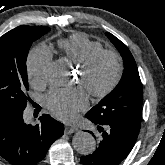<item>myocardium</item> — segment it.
I'll return each instance as SVG.
<instances>
[{
	"mask_svg": "<svg viewBox=\"0 0 165 165\" xmlns=\"http://www.w3.org/2000/svg\"><path fill=\"white\" fill-rule=\"evenodd\" d=\"M104 57L110 58L115 67L114 75L111 81L103 88L96 89L89 85L88 77L96 64ZM80 84L87 92L95 98H104L109 95L119 84L123 74V63L120 55L112 50L101 49L90 55L84 62L79 65Z\"/></svg>",
	"mask_w": 165,
	"mask_h": 165,
	"instance_id": "obj_1",
	"label": "myocardium"
}]
</instances>
